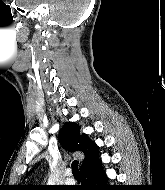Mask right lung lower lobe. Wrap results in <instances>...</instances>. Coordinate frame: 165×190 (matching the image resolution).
Listing matches in <instances>:
<instances>
[{
    "mask_svg": "<svg viewBox=\"0 0 165 190\" xmlns=\"http://www.w3.org/2000/svg\"><path fill=\"white\" fill-rule=\"evenodd\" d=\"M82 185L80 190H114L111 185H107V176L105 175L101 162L98 159L91 166L81 170Z\"/></svg>",
    "mask_w": 165,
    "mask_h": 190,
    "instance_id": "98d812e1",
    "label": "right lung lower lobe"
}]
</instances>
